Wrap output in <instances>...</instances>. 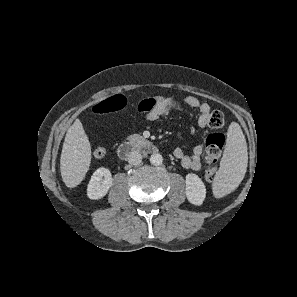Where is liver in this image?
<instances>
[{"instance_id": "1", "label": "liver", "mask_w": 297, "mask_h": 297, "mask_svg": "<svg viewBox=\"0 0 297 297\" xmlns=\"http://www.w3.org/2000/svg\"><path fill=\"white\" fill-rule=\"evenodd\" d=\"M91 162V146L79 119L67 130L61 157L60 171L67 187L74 188L84 179Z\"/></svg>"}]
</instances>
